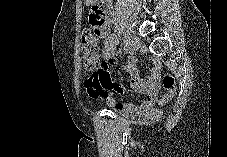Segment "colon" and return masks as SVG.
I'll return each instance as SVG.
<instances>
[{
    "label": "colon",
    "mask_w": 227,
    "mask_h": 157,
    "mask_svg": "<svg viewBox=\"0 0 227 157\" xmlns=\"http://www.w3.org/2000/svg\"><path fill=\"white\" fill-rule=\"evenodd\" d=\"M100 10L94 9L91 14L92 16H99ZM81 51L83 58L84 70L87 74L86 83L95 84L101 78V69L98 59V37L90 30H83L81 33ZM163 85L167 90V93L159 100V104L166 103L175 92V81L173 76L167 74L163 78Z\"/></svg>",
    "instance_id": "obj_1"
}]
</instances>
